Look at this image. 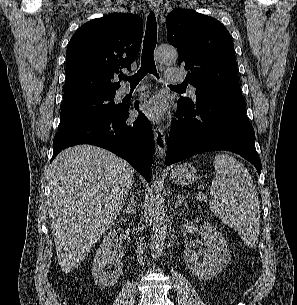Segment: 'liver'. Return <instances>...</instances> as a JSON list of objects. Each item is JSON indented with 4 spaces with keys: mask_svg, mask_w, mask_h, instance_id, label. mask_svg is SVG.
Here are the masks:
<instances>
[{
    "mask_svg": "<svg viewBox=\"0 0 297 305\" xmlns=\"http://www.w3.org/2000/svg\"><path fill=\"white\" fill-rule=\"evenodd\" d=\"M133 176L129 163L96 146L77 145L53 160L48 214L63 272L77 268L112 226Z\"/></svg>",
    "mask_w": 297,
    "mask_h": 305,
    "instance_id": "6515ba94",
    "label": "liver"
}]
</instances>
